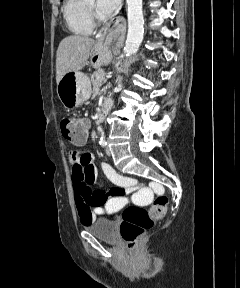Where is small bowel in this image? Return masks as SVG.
Returning a JSON list of instances; mask_svg holds the SVG:
<instances>
[{
    "label": "small bowel",
    "instance_id": "1",
    "mask_svg": "<svg viewBox=\"0 0 240 288\" xmlns=\"http://www.w3.org/2000/svg\"><path fill=\"white\" fill-rule=\"evenodd\" d=\"M85 143L86 139L73 145L81 148ZM70 162L75 203L83 225L92 223L98 215L117 213L128 203L126 195L138 187L133 179L118 174L109 164L101 162L102 172L116 186L109 192L92 190L91 185L97 178L93 154L88 150H74L70 154ZM144 193L148 195L150 192L145 190Z\"/></svg>",
    "mask_w": 240,
    "mask_h": 288
}]
</instances>
